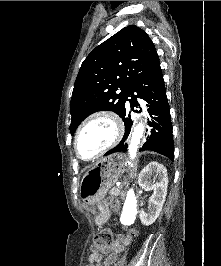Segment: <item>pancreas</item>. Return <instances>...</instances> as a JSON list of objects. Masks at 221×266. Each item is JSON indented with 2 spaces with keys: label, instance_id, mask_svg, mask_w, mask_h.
Listing matches in <instances>:
<instances>
[{
  "label": "pancreas",
  "instance_id": "1",
  "mask_svg": "<svg viewBox=\"0 0 221 266\" xmlns=\"http://www.w3.org/2000/svg\"><path fill=\"white\" fill-rule=\"evenodd\" d=\"M121 188L122 187H114V188H112L111 190H110V195L111 196H115V197H117L118 195H120L121 194Z\"/></svg>",
  "mask_w": 221,
  "mask_h": 266
}]
</instances>
